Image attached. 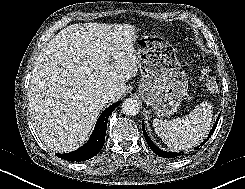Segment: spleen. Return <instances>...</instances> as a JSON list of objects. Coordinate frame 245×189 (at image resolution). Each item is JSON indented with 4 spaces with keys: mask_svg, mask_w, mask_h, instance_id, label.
I'll return each instance as SVG.
<instances>
[{
    "mask_svg": "<svg viewBox=\"0 0 245 189\" xmlns=\"http://www.w3.org/2000/svg\"><path fill=\"white\" fill-rule=\"evenodd\" d=\"M213 107L202 102L188 115L170 121L154 119L153 127L162 141L173 150H187L199 144L208 134Z\"/></svg>",
    "mask_w": 245,
    "mask_h": 189,
    "instance_id": "obj_1",
    "label": "spleen"
}]
</instances>
